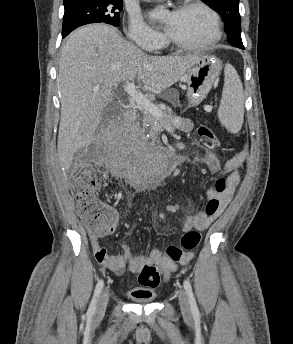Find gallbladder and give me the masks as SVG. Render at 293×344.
Listing matches in <instances>:
<instances>
[{
  "label": "gallbladder",
  "instance_id": "bac80fb5",
  "mask_svg": "<svg viewBox=\"0 0 293 344\" xmlns=\"http://www.w3.org/2000/svg\"><path fill=\"white\" fill-rule=\"evenodd\" d=\"M117 104L115 102H111L109 105H107L103 111L104 116L109 117L111 115V111L113 108H115Z\"/></svg>",
  "mask_w": 293,
  "mask_h": 344
}]
</instances>
